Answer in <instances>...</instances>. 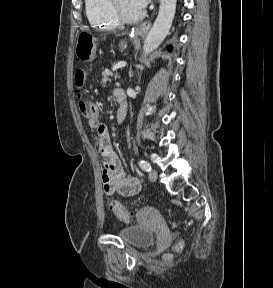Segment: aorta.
Instances as JSON below:
<instances>
[{"mask_svg": "<svg viewBox=\"0 0 273 288\" xmlns=\"http://www.w3.org/2000/svg\"><path fill=\"white\" fill-rule=\"evenodd\" d=\"M177 0H160L157 18L150 29L143 45V55L148 56L168 35L171 28Z\"/></svg>", "mask_w": 273, "mask_h": 288, "instance_id": "obj_1", "label": "aorta"}]
</instances>
